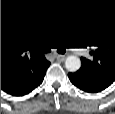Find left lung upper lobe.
I'll return each mask as SVG.
<instances>
[{
	"mask_svg": "<svg viewBox=\"0 0 115 114\" xmlns=\"http://www.w3.org/2000/svg\"><path fill=\"white\" fill-rule=\"evenodd\" d=\"M90 57H81L82 66L77 71L115 81V22L101 27L84 43Z\"/></svg>",
	"mask_w": 115,
	"mask_h": 114,
	"instance_id": "left-lung-upper-lobe-1",
	"label": "left lung upper lobe"
}]
</instances>
